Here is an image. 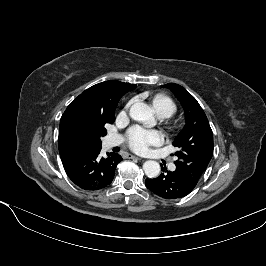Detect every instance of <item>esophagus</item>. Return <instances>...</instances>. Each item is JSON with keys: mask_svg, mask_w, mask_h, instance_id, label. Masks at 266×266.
<instances>
[{"mask_svg": "<svg viewBox=\"0 0 266 266\" xmlns=\"http://www.w3.org/2000/svg\"><path fill=\"white\" fill-rule=\"evenodd\" d=\"M129 158H131V159L141 160L140 157H137V156H135V155H129Z\"/></svg>", "mask_w": 266, "mask_h": 266, "instance_id": "obj_1", "label": "esophagus"}]
</instances>
